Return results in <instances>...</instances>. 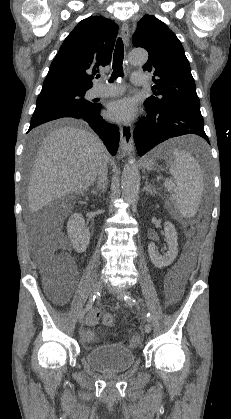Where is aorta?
Segmentation results:
<instances>
[{"mask_svg":"<svg viewBox=\"0 0 231 419\" xmlns=\"http://www.w3.org/2000/svg\"><path fill=\"white\" fill-rule=\"evenodd\" d=\"M148 60V53L144 49H134L129 54L132 65H143ZM139 171L135 160L131 159L125 164L121 176L122 195L125 200H132L139 187Z\"/></svg>","mask_w":231,"mask_h":419,"instance_id":"aorta-1","label":"aorta"}]
</instances>
